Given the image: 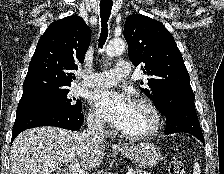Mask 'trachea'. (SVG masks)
Returning <instances> with one entry per match:
<instances>
[{
    "instance_id": "1",
    "label": "trachea",
    "mask_w": 224,
    "mask_h": 174,
    "mask_svg": "<svg viewBox=\"0 0 224 174\" xmlns=\"http://www.w3.org/2000/svg\"><path fill=\"white\" fill-rule=\"evenodd\" d=\"M113 2L111 0L100 1L101 35L99 39L100 46L103 47L108 36V20L111 14Z\"/></svg>"
}]
</instances>
